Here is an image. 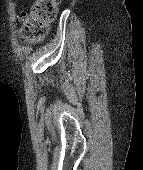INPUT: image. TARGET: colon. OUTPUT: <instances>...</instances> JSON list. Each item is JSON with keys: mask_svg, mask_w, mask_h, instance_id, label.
<instances>
[{"mask_svg": "<svg viewBox=\"0 0 143 170\" xmlns=\"http://www.w3.org/2000/svg\"><path fill=\"white\" fill-rule=\"evenodd\" d=\"M61 0H35L27 13H22L21 23L26 36L33 41H42L50 23L57 15Z\"/></svg>", "mask_w": 143, "mask_h": 170, "instance_id": "1", "label": "colon"}]
</instances>
